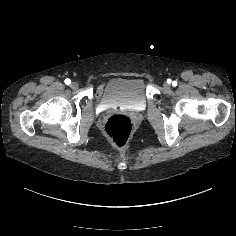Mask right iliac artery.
Listing matches in <instances>:
<instances>
[{
	"mask_svg": "<svg viewBox=\"0 0 236 236\" xmlns=\"http://www.w3.org/2000/svg\"><path fill=\"white\" fill-rule=\"evenodd\" d=\"M64 82H65V84L69 85L71 83V80L67 78V79H65Z\"/></svg>",
	"mask_w": 236,
	"mask_h": 236,
	"instance_id": "1",
	"label": "right iliac artery"
}]
</instances>
